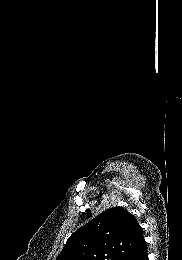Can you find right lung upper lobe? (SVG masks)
Listing matches in <instances>:
<instances>
[{"label":"right lung upper lobe","mask_w":182,"mask_h":260,"mask_svg":"<svg viewBox=\"0 0 182 260\" xmlns=\"http://www.w3.org/2000/svg\"><path fill=\"white\" fill-rule=\"evenodd\" d=\"M145 244L134 215L113 207L74 232L56 260H127Z\"/></svg>","instance_id":"1"}]
</instances>
